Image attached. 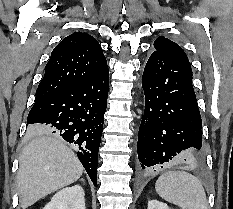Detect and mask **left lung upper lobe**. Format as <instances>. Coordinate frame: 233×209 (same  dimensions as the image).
I'll return each mask as SVG.
<instances>
[{
    "label": "left lung upper lobe",
    "instance_id": "obj_1",
    "mask_svg": "<svg viewBox=\"0 0 233 209\" xmlns=\"http://www.w3.org/2000/svg\"><path fill=\"white\" fill-rule=\"evenodd\" d=\"M154 47L156 51L153 53L162 54L190 65L187 55L183 49L175 42L165 38L164 36H160L154 41Z\"/></svg>",
    "mask_w": 233,
    "mask_h": 209
}]
</instances>
